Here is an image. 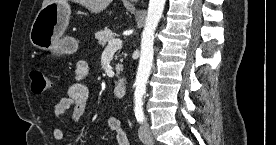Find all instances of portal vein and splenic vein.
Segmentation results:
<instances>
[{
    "mask_svg": "<svg viewBox=\"0 0 276 145\" xmlns=\"http://www.w3.org/2000/svg\"><path fill=\"white\" fill-rule=\"evenodd\" d=\"M122 45V41L120 39L113 38L108 42V45L106 47V51H116L118 50Z\"/></svg>",
    "mask_w": 276,
    "mask_h": 145,
    "instance_id": "portal-vein-and-splenic-vein-1",
    "label": "portal vein and splenic vein"
}]
</instances>
